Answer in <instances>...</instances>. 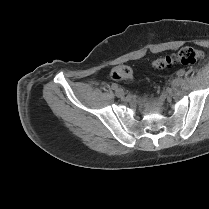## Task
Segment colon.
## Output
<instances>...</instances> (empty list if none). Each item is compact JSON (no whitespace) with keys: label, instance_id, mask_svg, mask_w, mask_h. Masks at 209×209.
<instances>
[{"label":"colon","instance_id":"colon-1","mask_svg":"<svg viewBox=\"0 0 209 209\" xmlns=\"http://www.w3.org/2000/svg\"><path fill=\"white\" fill-rule=\"evenodd\" d=\"M204 58V53L201 50L185 47L178 52L155 59L152 62V66L155 69H165L179 63L182 65H195L199 64ZM111 77L116 81H131L133 78V72L130 67L121 65L114 68L111 72Z\"/></svg>","mask_w":209,"mask_h":209}]
</instances>
